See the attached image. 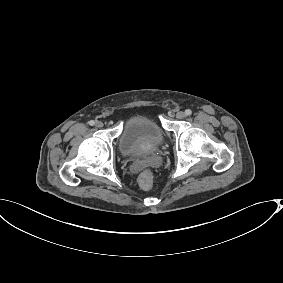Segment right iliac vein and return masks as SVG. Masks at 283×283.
Returning a JSON list of instances; mask_svg holds the SVG:
<instances>
[{"mask_svg": "<svg viewBox=\"0 0 283 283\" xmlns=\"http://www.w3.org/2000/svg\"><path fill=\"white\" fill-rule=\"evenodd\" d=\"M103 122L102 121H96V123H95V126L96 127H98V128H101V127H103Z\"/></svg>", "mask_w": 283, "mask_h": 283, "instance_id": "right-iliac-vein-1", "label": "right iliac vein"}]
</instances>
